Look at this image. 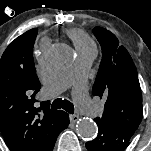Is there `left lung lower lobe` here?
I'll return each instance as SVG.
<instances>
[{
	"label": "left lung lower lobe",
	"instance_id": "left-lung-lower-lobe-1",
	"mask_svg": "<svg viewBox=\"0 0 151 151\" xmlns=\"http://www.w3.org/2000/svg\"><path fill=\"white\" fill-rule=\"evenodd\" d=\"M98 125V136L86 143L88 151H124L129 145L130 136L113 130L105 125Z\"/></svg>",
	"mask_w": 151,
	"mask_h": 151
}]
</instances>
